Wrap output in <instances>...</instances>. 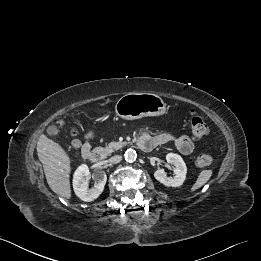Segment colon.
<instances>
[{
    "label": "colon",
    "instance_id": "1",
    "mask_svg": "<svg viewBox=\"0 0 261 261\" xmlns=\"http://www.w3.org/2000/svg\"><path fill=\"white\" fill-rule=\"evenodd\" d=\"M191 131L195 139L200 140L206 136L208 132V126L206 121L199 115L193 114L191 117ZM213 161L210 154L200 152L196 156V164L200 167L209 166Z\"/></svg>",
    "mask_w": 261,
    "mask_h": 261
}]
</instances>
